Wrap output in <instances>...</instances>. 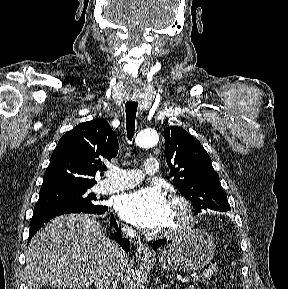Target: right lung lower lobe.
<instances>
[{
  "label": "right lung lower lobe",
  "instance_id": "1",
  "mask_svg": "<svg viewBox=\"0 0 288 289\" xmlns=\"http://www.w3.org/2000/svg\"><path fill=\"white\" fill-rule=\"evenodd\" d=\"M108 210V207L104 206L98 210L93 211H83V210H77L72 208H60V207H49V208H41L34 210L33 217L30 222V230H29V240L35 235V233L48 221H50L52 218L66 214V213H90V214H97L102 215L106 213ZM110 224L117 230L118 232L112 233L111 237L115 239L122 248L128 253L130 250V243L128 239L122 238V235L119 233V228L116 223V220L114 216L112 215L110 217Z\"/></svg>",
  "mask_w": 288,
  "mask_h": 289
}]
</instances>
